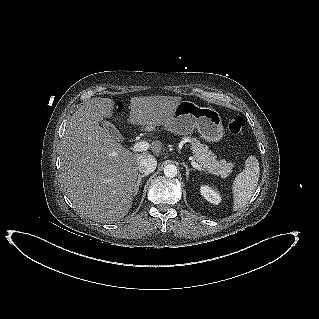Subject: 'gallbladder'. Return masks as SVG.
Segmentation results:
<instances>
[{
	"label": "gallbladder",
	"instance_id": "bac80fb5",
	"mask_svg": "<svg viewBox=\"0 0 319 319\" xmlns=\"http://www.w3.org/2000/svg\"><path fill=\"white\" fill-rule=\"evenodd\" d=\"M101 125L117 141L122 142L124 140L123 136L120 134V132L116 129V127L111 122L102 120Z\"/></svg>",
	"mask_w": 319,
	"mask_h": 319
}]
</instances>
